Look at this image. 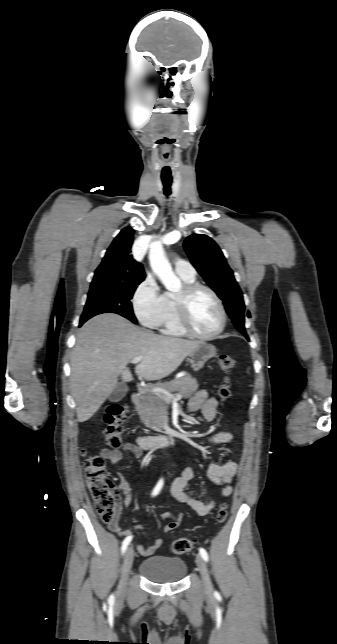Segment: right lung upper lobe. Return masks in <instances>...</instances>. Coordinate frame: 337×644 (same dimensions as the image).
Masks as SVG:
<instances>
[{"label":"right lung upper lobe","mask_w":337,"mask_h":644,"mask_svg":"<svg viewBox=\"0 0 337 644\" xmlns=\"http://www.w3.org/2000/svg\"><path fill=\"white\" fill-rule=\"evenodd\" d=\"M134 231L126 227L117 235L95 271L94 283L142 282L145 272L142 264L136 262L131 252Z\"/></svg>","instance_id":"cb5924a9"}]
</instances>
